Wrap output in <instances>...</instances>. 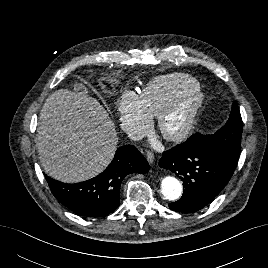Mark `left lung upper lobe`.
<instances>
[{
  "label": "left lung upper lobe",
  "mask_w": 268,
  "mask_h": 268,
  "mask_svg": "<svg viewBox=\"0 0 268 268\" xmlns=\"http://www.w3.org/2000/svg\"><path fill=\"white\" fill-rule=\"evenodd\" d=\"M242 119L237 102L233 103L230 117L227 123L212 135L195 134V145L206 149H214L226 152L234 157H239L241 137H242Z\"/></svg>",
  "instance_id": "left-lung-upper-lobe-1"
}]
</instances>
